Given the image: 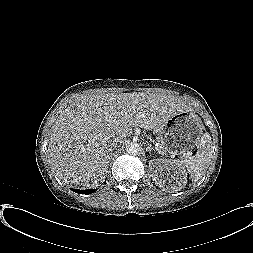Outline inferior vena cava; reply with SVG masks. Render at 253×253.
I'll return each mask as SVG.
<instances>
[{"label":"inferior vena cava","mask_w":253,"mask_h":253,"mask_svg":"<svg viewBox=\"0 0 253 253\" xmlns=\"http://www.w3.org/2000/svg\"><path fill=\"white\" fill-rule=\"evenodd\" d=\"M121 140L119 139V138H114L113 140H112V146L113 147H119L120 145H121Z\"/></svg>","instance_id":"inferior-vena-cava-1"}]
</instances>
